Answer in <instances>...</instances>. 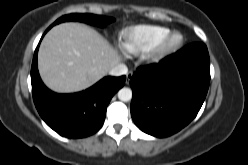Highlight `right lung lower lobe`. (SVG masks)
I'll use <instances>...</instances> for the list:
<instances>
[{"label":"right lung lower lobe","mask_w":248,"mask_h":165,"mask_svg":"<svg viewBox=\"0 0 248 165\" xmlns=\"http://www.w3.org/2000/svg\"><path fill=\"white\" fill-rule=\"evenodd\" d=\"M39 44L33 57L31 83L33 100L41 118L58 134L68 138L94 134L102 127L107 106L113 95L123 87L126 77H105L79 93H54L45 87L38 73Z\"/></svg>","instance_id":"obj_1"}]
</instances>
